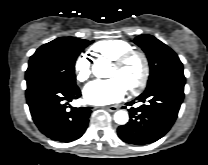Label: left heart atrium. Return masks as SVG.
<instances>
[{"mask_svg":"<svg viewBox=\"0 0 208 165\" xmlns=\"http://www.w3.org/2000/svg\"><path fill=\"white\" fill-rule=\"evenodd\" d=\"M126 87L117 77L106 80H95L84 88L86 102L93 105H108L123 98Z\"/></svg>","mask_w":208,"mask_h":165,"instance_id":"left-heart-atrium-1","label":"left heart atrium"}]
</instances>
